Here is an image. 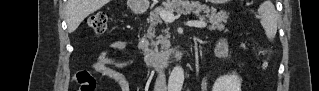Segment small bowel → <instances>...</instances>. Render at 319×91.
I'll return each mask as SVG.
<instances>
[{"label": "small bowel", "mask_w": 319, "mask_h": 91, "mask_svg": "<svg viewBox=\"0 0 319 91\" xmlns=\"http://www.w3.org/2000/svg\"><path fill=\"white\" fill-rule=\"evenodd\" d=\"M110 48L120 51L127 52L128 45L121 40H114L109 44ZM215 53L220 59H226L229 56V45L228 40L225 37H221L218 39ZM132 61L128 58L120 59L111 56L108 53L101 52L96 55L94 62L91 67L94 71L110 77L114 81H116L122 88L123 91L130 90V81L119 72L121 69H127L131 66ZM81 73L77 75L79 77ZM87 74V73H86ZM208 89V79L202 81L201 90L206 91Z\"/></svg>", "instance_id": "obj_1"}]
</instances>
